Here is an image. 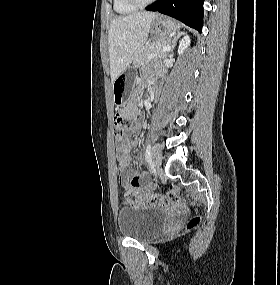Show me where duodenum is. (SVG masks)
<instances>
[{
  "instance_id": "duodenum-1",
  "label": "duodenum",
  "mask_w": 280,
  "mask_h": 285,
  "mask_svg": "<svg viewBox=\"0 0 280 285\" xmlns=\"http://www.w3.org/2000/svg\"><path fill=\"white\" fill-rule=\"evenodd\" d=\"M160 96V87L158 85V83H154L153 85V97L154 100H157Z\"/></svg>"
}]
</instances>
